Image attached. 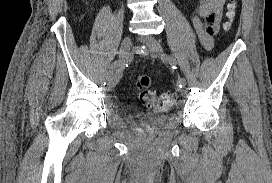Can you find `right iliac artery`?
<instances>
[{"instance_id":"right-iliac-artery-1","label":"right iliac artery","mask_w":272,"mask_h":183,"mask_svg":"<svg viewBox=\"0 0 272 183\" xmlns=\"http://www.w3.org/2000/svg\"><path fill=\"white\" fill-rule=\"evenodd\" d=\"M118 61H115L112 65H111V69L109 70L110 71V73H111V76L113 77V78H115L118 74H119V68H118V70H113V69H115L117 66H118Z\"/></svg>"}]
</instances>
